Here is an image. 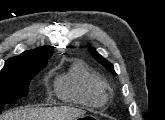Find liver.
I'll return each instance as SVG.
<instances>
[{
  "mask_svg": "<svg viewBox=\"0 0 165 120\" xmlns=\"http://www.w3.org/2000/svg\"><path fill=\"white\" fill-rule=\"evenodd\" d=\"M82 114H84L83 111L70 107L54 109L25 107L8 111L0 117V120H71Z\"/></svg>",
  "mask_w": 165,
  "mask_h": 120,
  "instance_id": "liver-1",
  "label": "liver"
}]
</instances>
